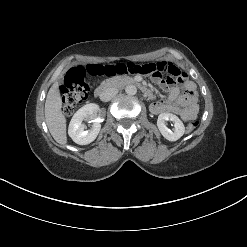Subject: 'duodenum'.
Here are the masks:
<instances>
[{
  "label": "duodenum",
  "mask_w": 247,
  "mask_h": 247,
  "mask_svg": "<svg viewBox=\"0 0 247 247\" xmlns=\"http://www.w3.org/2000/svg\"><path fill=\"white\" fill-rule=\"evenodd\" d=\"M122 85L136 86L145 96H150V90L134 78H114L106 80L95 89L94 95L96 98L102 99L108 90Z\"/></svg>",
  "instance_id": "1"
}]
</instances>
